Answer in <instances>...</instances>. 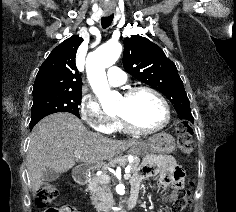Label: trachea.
<instances>
[{"instance_id": "obj_1", "label": "trachea", "mask_w": 236, "mask_h": 212, "mask_svg": "<svg viewBox=\"0 0 236 212\" xmlns=\"http://www.w3.org/2000/svg\"><path fill=\"white\" fill-rule=\"evenodd\" d=\"M113 17H114V14L104 16V17L101 18V25H102L103 29H106L110 26V24L113 21Z\"/></svg>"}]
</instances>
